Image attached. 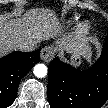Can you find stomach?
Segmentation results:
<instances>
[{"mask_svg": "<svg viewBox=\"0 0 108 108\" xmlns=\"http://www.w3.org/2000/svg\"><path fill=\"white\" fill-rule=\"evenodd\" d=\"M82 55H79L77 53H71L70 55V63L74 66H80L82 63Z\"/></svg>", "mask_w": 108, "mask_h": 108, "instance_id": "obj_1", "label": "stomach"}]
</instances>
